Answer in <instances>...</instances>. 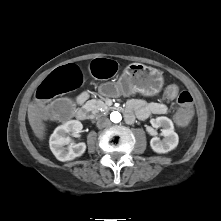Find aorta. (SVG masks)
<instances>
[{
	"instance_id": "aorta-1",
	"label": "aorta",
	"mask_w": 221,
	"mask_h": 221,
	"mask_svg": "<svg viewBox=\"0 0 221 221\" xmlns=\"http://www.w3.org/2000/svg\"><path fill=\"white\" fill-rule=\"evenodd\" d=\"M110 119L112 122L114 123H119L121 122L122 120V115L121 113H119L118 111H113L111 114H110Z\"/></svg>"
}]
</instances>
